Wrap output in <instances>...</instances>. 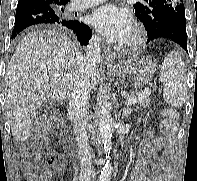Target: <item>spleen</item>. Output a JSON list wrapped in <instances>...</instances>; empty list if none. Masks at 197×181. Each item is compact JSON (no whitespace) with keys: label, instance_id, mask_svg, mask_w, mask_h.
I'll return each instance as SVG.
<instances>
[{"label":"spleen","instance_id":"3e777b00","mask_svg":"<svg viewBox=\"0 0 197 181\" xmlns=\"http://www.w3.org/2000/svg\"><path fill=\"white\" fill-rule=\"evenodd\" d=\"M164 85L163 98L172 107H181L187 96V77L184 63L176 51L165 57L159 75Z\"/></svg>","mask_w":197,"mask_h":181}]
</instances>
